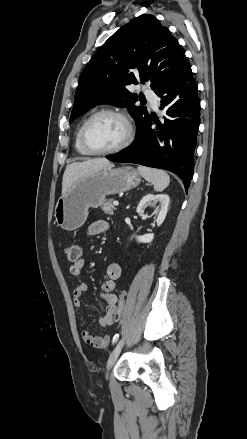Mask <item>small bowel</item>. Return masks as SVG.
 <instances>
[{"mask_svg": "<svg viewBox=\"0 0 247 439\" xmlns=\"http://www.w3.org/2000/svg\"><path fill=\"white\" fill-rule=\"evenodd\" d=\"M109 229V223L104 220H98L93 222L88 227V235L97 236ZM85 260L80 258L78 261L70 265L69 271L72 276H79L82 268L84 267ZM121 276V267L117 263H111L107 267V280L102 286V292L100 294L101 298L106 303V307L103 315L99 318V324L102 327H108L113 324V313L117 303V297L112 292L115 288L116 281ZM87 290V285L84 282H78L72 293V301L75 307L79 308L81 306V298L84 292ZM83 324V323H82ZM83 340L90 346L103 349L109 344V336H93L88 330H82Z\"/></svg>", "mask_w": 247, "mask_h": 439, "instance_id": "small-bowel-1", "label": "small bowel"}]
</instances>
